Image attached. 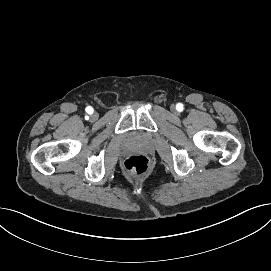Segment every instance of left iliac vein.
I'll list each match as a JSON object with an SVG mask.
<instances>
[{"instance_id":"4c4485c4","label":"left iliac vein","mask_w":271,"mask_h":271,"mask_svg":"<svg viewBox=\"0 0 271 271\" xmlns=\"http://www.w3.org/2000/svg\"><path fill=\"white\" fill-rule=\"evenodd\" d=\"M171 110H172V111H175V110H176L174 105L171 106Z\"/></svg>"}]
</instances>
